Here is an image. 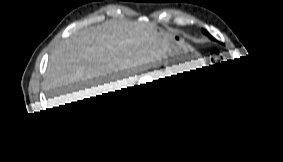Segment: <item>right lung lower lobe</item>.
<instances>
[{
    "label": "right lung lower lobe",
    "instance_id": "1",
    "mask_svg": "<svg viewBox=\"0 0 283 162\" xmlns=\"http://www.w3.org/2000/svg\"><path fill=\"white\" fill-rule=\"evenodd\" d=\"M136 88L137 86H134L121 91H115L114 93L97 96L96 98L66 104L59 108L47 109V116H51V119L54 120L79 116L77 119L67 120L61 124L56 120V127L70 134L77 135L83 140L100 137L109 133L118 125L125 110L121 104L122 97L128 90L136 92ZM109 106L111 107L110 110L99 112Z\"/></svg>",
    "mask_w": 283,
    "mask_h": 162
}]
</instances>
